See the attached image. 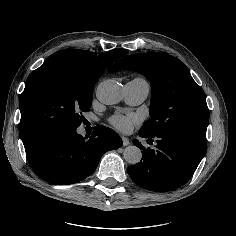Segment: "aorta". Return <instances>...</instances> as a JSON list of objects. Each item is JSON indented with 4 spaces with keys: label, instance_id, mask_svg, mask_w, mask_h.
<instances>
[{
    "label": "aorta",
    "instance_id": "aorta-1",
    "mask_svg": "<svg viewBox=\"0 0 236 236\" xmlns=\"http://www.w3.org/2000/svg\"><path fill=\"white\" fill-rule=\"evenodd\" d=\"M122 94L121 84L111 79L101 82L96 90V97L101 103L106 105H113L120 102ZM123 157L127 163L133 165L141 161L142 153L138 147L130 145L124 149Z\"/></svg>",
    "mask_w": 236,
    "mask_h": 236
}]
</instances>
